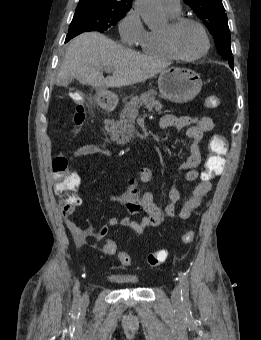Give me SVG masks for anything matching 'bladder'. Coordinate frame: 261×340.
<instances>
[{
	"label": "bladder",
	"mask_w": 261,
	"mask_h": 340,
	"mask_svg": "<svg viewBox=\"0 0 261 340\" xmlns=\"http://www.w3.org/2000/svg\"><path fill=\"white\" fill-rule=\"evenodd\" d=\"M111 280L122 284L136 285L139 283V278L136 276H122L117 274H112L109 276Z\"/></svg>",
	"instance_id": "bladder-1"
}]
</instances>
